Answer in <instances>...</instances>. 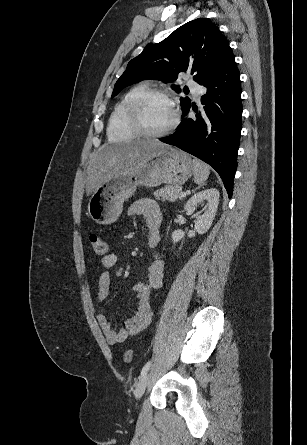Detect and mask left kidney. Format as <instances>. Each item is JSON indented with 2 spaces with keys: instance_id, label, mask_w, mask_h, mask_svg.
<instances>
[{
  "instance_id": "left-kidney-1",
  "label": "left kidney",
  "mask_w": 307,
  "mask_h": 445,
  "mask_svg": "<svg viewBox=\"0 0 307 445\" xmlns=\"http://www.w3.org/2000/svg\"><path fill=\"white\" fill-rule=\"evenodd\" d=\"M201 200H208L207 206L204 210V214H199L196 212V223L194 227V231H189L188 237H195L196 233L198 235H204L207 233L208 229H210L214 216L216 214L218 202H219V190L217 188H207V190H201V192H196L193 194L191 198H189L188 202H186L184 208L186 210V214H193L197 202H201ZM184 233L181 229H177V231H173L172 233V241L173 243H178L183 239Z\"/></svg>"
}]
</instances>
